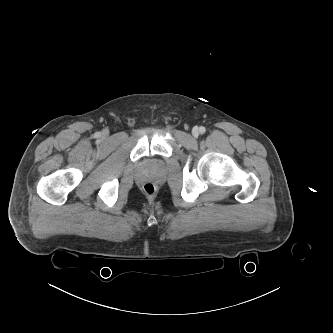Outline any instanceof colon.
I'll list each match as a JSON object with an SVG mask.
<instances>
[{"mask_svg": "<svg viewBox=\"0 0 333 333\" xmlns=\"http://www.w3.org/2000/svg\"><path fill=\"white\" fill-rule=\"evenodd\" d=\"M143 190H144L145 194L149 197H152L156 192V188H155L154 184H152V183L144 184Z\"/></svg>", "mask_w": 333, "mask_h": 333, "instance_id": "1", "label": "colon"}]
</instances>
